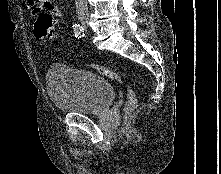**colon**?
<instances>
[{"mask_svg": "<svg viewBox=\"0 0 221 174\" xmlns=\"http://www.w3.org/2000/svg\"><path fill=\"white\" fill-rule=\"evenodd\" d=\"M34 31L37 38L42 40H53L55 38L54 28H53V18L50 14L40 15L34 25ZM90 69L93 71L111 79L121 84L126 85L127 89V99L125 105V113L130 114L137 105V98L133 89L126 84L123 78L115 71L101 65H89Z\"/></svg>", "mask_w": 221, "mask_h": 174, "instance_id": "5ec220e1", "label": "colon"}]
</instances>
